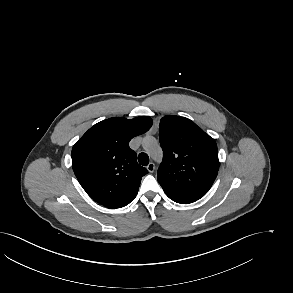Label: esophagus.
I'll use <instances>...</instances> for the list:
<instances>
[{
  "label": "esophagus",
  "instance_id": "1",
  "mask_svg": "<svg viewBox=\"0 0 293 293\" xmlns=\"http://www.w3.org/2000/svg\"><path fill=\"white\" fill-rule=\"evenodd\" d=\"M147 170L149 171V173H153L155 170V164L153 162L149 163L147 165Z\"/></svg>",
  "mask_w": 293,
  "mask_h": 293
}]
</instances>
